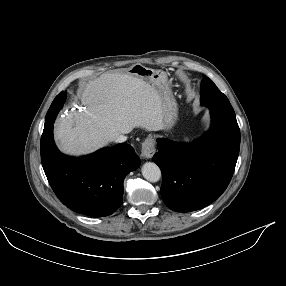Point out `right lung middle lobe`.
Returning <instances> with one entry per match:
<instances>
[{"mask_svg":"<svg viewBox=\"0 0 286 286\" xmlns=\"http://www.w3.org/2000/svg\"><path fill=\"white\" fill-rule=\"evenodd\" d=\"M66 99V92H61L59 95L56 96L54 101L52 102L45 118V125L51 124L54 122L57 113L62 108L63 103Z\"/></svg>","mask_w":286,"mask_h":286,"instance_id":"obj_1","label":"right lung middle lobe"}]
</instances>
